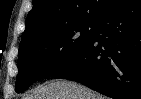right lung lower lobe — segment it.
I'll list each match as a JSON object with an SVG mask.
<instances>
[{
  "mask_svg": "<svg viewBox=\"0 0 141 99\" xmlns=\"http://www.w3.org/2000/svg\"><path fill=\"white\" fill-rule=\"evenodd\" d=\"M96 22L92 40L50 77L114 99H141V0H120Z\"/></svg>",
  "mask_w": 141,
  "mask_h": 99,
  "instance_id": "98d812e1",
  "label": "right lung lower lobe"
}]
</instances>
